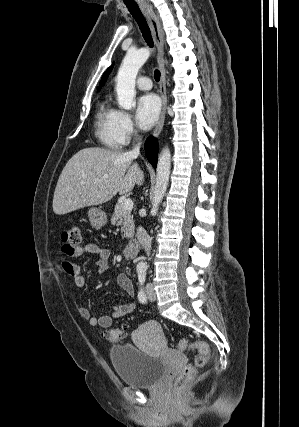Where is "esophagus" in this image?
<instances>
[{
  "label": "esophagus",
  "instance_id": "1",
  "mask_svg": "<svg viewBox=\"0 0 299 427\" xmlns=\"http://www.w3.org/2000/svg\"><path fill=\"white\" fill-rule=\"evenodd\" d=\"M140 8L143 11L144 15L146 16L152 30L153 38L158 50V64L161 72L159 92L162 100V109H161L159 121L153 131V136L157 137L161 133L164 125L165 115H166V105H167L166 72H165V67L163 63V54H164L163 32H162L159 18L154 13L152 8L146 3L140 4Z\"/></svg>",
  "mask_w": 299,
  "mask_h": 427
}]
</instances>
